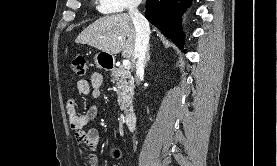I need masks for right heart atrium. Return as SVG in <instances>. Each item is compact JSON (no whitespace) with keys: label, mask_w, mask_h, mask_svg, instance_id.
<instances>
[{"label":"right heart atrium","mask_w":277,"mask_h":166,"mask_svg":"<svg viewBox=\"0 0 277 166\" xmlns=\"http://www.w3.org/2000/svg\"><path fill=\"white\" fill-rule=\"evenodd\" d=\"M141 0H97V8L102 13H118L135 9Z\"/></svg>","instance_id":"right-heart-atrium-1"}]
</instances>
